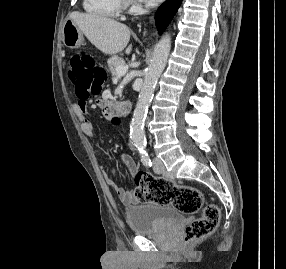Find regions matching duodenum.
<instances>
[{"label": "duodenum", "mask_w": 286, "mask_h": 269, "mask_svg": "<svg viewBox=\"0 0 286 269\" xmlns=\"http://www.w3.org/2000/svg\"><path fill=\"white\" fill-rule=\"evenodd\" d=\"M110 111H116L119 114L125 115L130 111L129 102L111 103L106 106Z\"/></svg>", "instance_id": "duodenum-1"}]
</instances>
